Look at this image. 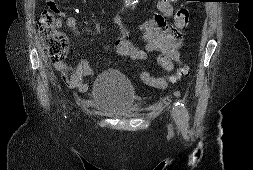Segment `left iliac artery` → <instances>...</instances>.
I'll return each instance as SVG.
<instances>
[{"label":"left iliac artery","instance_id":"44dca946","mask_svg":"<svg viewBox=\"0 0 253 170\" xmlns=\"http://www.w3.org/2000/svg\"><path fill=\"white\" fill-rule=\"evenodd\" d=\"M175 106H176V107L173 108V109H174V112H176V113L179 112V114L181 115V117H184V116L186 115L185 112L179 111V108H180L181 106H184V104H183L182 102H177Z\"/></svg>","mask_w":253,"mask_h":170}]
</instances>
